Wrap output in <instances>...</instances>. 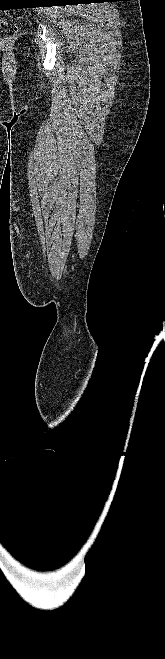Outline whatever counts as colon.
Here are the masks:
<instances>
[{"mask_svg": "<svg viewBox=\"0 0 165 659\" xmlns=\"http://www.w3.org/2000/svg\"><path fill=\"white\" fill-rule=\"evenodd\" d=\"M17 34V27L15 24L0 19V40L8 41L15 37Z\"/></svg>", "mask_w": 165, "mask_h": 659, "instance_id": "obj_1", "label": "colon"}]
</instances>
